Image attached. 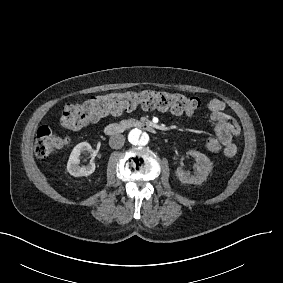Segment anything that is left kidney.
I'll return each mask as SVG.
<instances>
[{
    "label": "left kidney",
    "mask_w": 283,
    "mask_h": 283,
    "mask_svg": "<svg viewBox=\"0 0 283 283\" xmlns=\"http://www.w3.org/2000/svg\"><path fill=\"white\" fill-rule=\"evenodd\" d=\"M187 156L194 158L198 162L194 174L192 175L182 167H177L176 176L184 183H202L206 180L211 171V163L209 159L204 154L192 150L187 152Z\"/></svg>",
    "instance_id": "1"
}]
</instances>
